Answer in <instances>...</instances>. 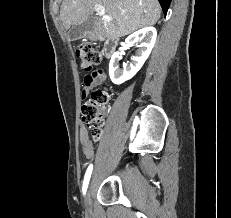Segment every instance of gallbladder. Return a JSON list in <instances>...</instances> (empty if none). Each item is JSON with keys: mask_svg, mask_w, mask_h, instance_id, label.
I'll list each match as a JSON object with an SVG mask.
<instances>
[{"mask_svg": "<svg viewBox=\"0 0 231 218\" xmlns=\"http://www.w3.org/2000/svg\"><path fill=\"white\" fill-rule=\"evenodd\" d=\"M94 26V19L92 16H89L83 22L72 26L68 32L69 39L71 41H76L85 36L88 31H91Z\"/></svg>", "mask_w": 231, "mask_h": 218, "instance_id": "gallbladder-1", "label": "gallbladder"}]
</instances>
